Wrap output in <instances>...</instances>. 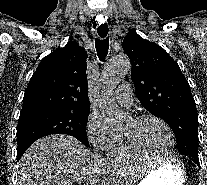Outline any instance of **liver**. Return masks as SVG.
Listing matches in <instances>:
<instances>
[{"instance_id": "obj_1", "label": "liver", "mask_w": 207, "mask_h": 185, "mask_svg": "<svg viewBox=\"0 0 207 185\" xmlns=\"http://www.w3.org/2000/svg\"><path fill=\"white\" fill-rule=\"evenodd\" d=\"M94 159L74 137H42L22 155L17 185H71V179L95 173ZM92 179L97 183L96 175Z\"/></svg>"}]
</instances>
